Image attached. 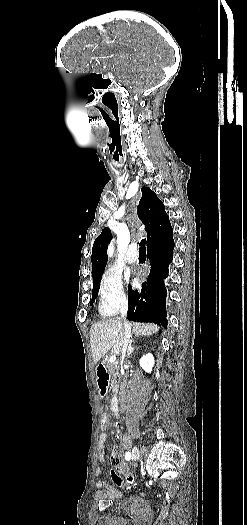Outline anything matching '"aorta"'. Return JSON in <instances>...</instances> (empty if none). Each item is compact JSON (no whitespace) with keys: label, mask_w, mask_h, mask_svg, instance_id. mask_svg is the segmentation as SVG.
Instances as JSON below:
<instances>
[{"label":"aorta","mask_w":247,"mask_h":525,"mask_svg":"<svg viewBox=\"0 0 247 525\" xmlns=\"http://www.w3.org/2000/svg\"><path fill=\"white\" fill-rule=\"evenodd\" d=\"M107 253H108V256H110V257H111V256L113 255V253H114V245H113L112 242H111L110 245L108 246V251H107Z\"/></svg>","instance_id":"762f6f07"}]
</instances>
